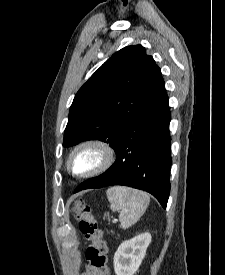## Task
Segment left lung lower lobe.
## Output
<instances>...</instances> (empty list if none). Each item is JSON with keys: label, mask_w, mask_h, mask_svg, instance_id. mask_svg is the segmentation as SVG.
Returning <instances> with one entry per match:
<instances>
[{"label": "left lung lower lobe", "mask_w": 225, "mask_h": 275, "mask_svg": "<svg viewBox=\"0 0 225 275\" xmlns=\"http://www.w3.org/2000/svg\"><path fill=\"white\" fill-rule=\"evenodd\" d=\"M168 102L164 87L121 138L114 164L102 175L81 183L75 192L124 185L151 193L166 208L172 164Z\"/></svg>", "instance_id": "left-lung-lower-lobe-1"}]
</instances>
